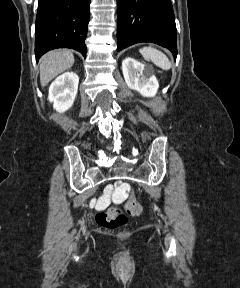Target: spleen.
<instances>
[{"mask_svg":"<svg viewBox=\"0 0 240 288\" xmlns=\"http://www.w3.org/2000/svg\"><path fill=\"white\" fill-rule=\"evenodd\" d=\"M139 51L144 57V59L152 61L161 69L169 70L171 68V63L168 57L158 49H155L153 47H143Z\"/></svg>","mask_w":240,"mask_h":288,"instance_id":"obj_1","label":"spleen"}]
</instances>
